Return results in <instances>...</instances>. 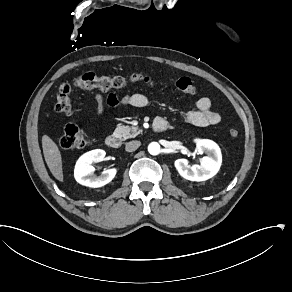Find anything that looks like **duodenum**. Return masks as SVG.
<instances>
[{
    "mask_svg": "<svg viewBox=\"0 0 292 292\" xmlns=\"http://www.w3.org/2000/svg\"><path fill=\"white\" fill-rule=\"evenodd\" d=\"M168 126L169 124L165 119L158 118L154 121L152 129L154 133H163L167 131ZM106 144L112 149H118L120 147V140L115 135H109L106 138Z\"/></svg>",
    "mask_w": 292,
    "mask_h": 292,
    "instance_id": "1",
    "label": "duodenum"
}]
</instances>
